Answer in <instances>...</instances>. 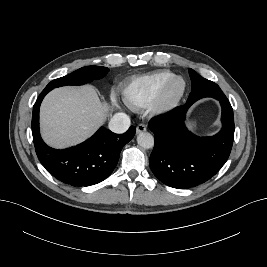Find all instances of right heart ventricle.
<instances>
[{
    "label": "right heart ventricle",
    "mask_w": 267,
    "mask_h": 267,
    "mask_svg": "<svg viewBox=\"0 0 267 267\" xmlns=\"http://www.w3.org/2000/svg\"><path fill=\"white\" fill-rule=\"evenodd\" d=\"M173 76L175 74L168 70L137 76L123 88V101L135 110L148 107L162 85Z\"/></svg>",
    "instance_id": "obj_1"
}]
</instances>
